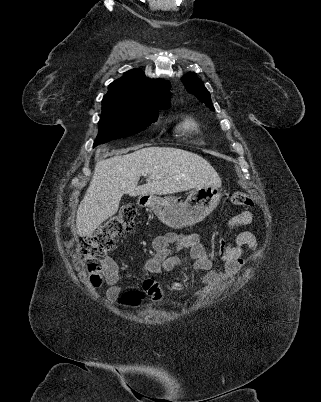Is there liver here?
<instances>
[{
  "mask_svg": "<svg viewBox=\"0 0 321 402\" xmlns=\"http://www.w3.org/2000/svg\"><path fill=\"white\" fill-rule=\"evenodd\" d=\"M99 153L97 149L96 158ZM142 175H148L147 182L138 186ZM208 185H221L215 169L203 157L178 148L146 147L97 160L90 185L78 206L77 234L91 235L116 214L124 194H173Z\"/></svg>",
  "mask_w": 321,
  "mask_h": 402,
  "instance_id": "obj_1",
  "label": "liver"
}]
</instances>
